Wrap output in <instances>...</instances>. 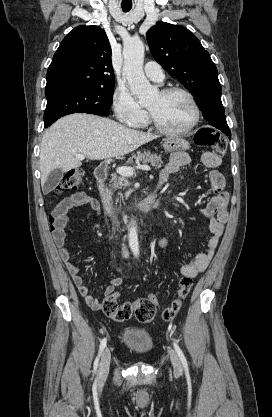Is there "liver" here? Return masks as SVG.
<instances>
[{
  "mask_svg": "<svg viewBox=\"0 0 272 417\" xmlns=\"http://www.w3.org/2000/svg\"><path fill=\"white\" fill-rule=\"evenodd\" d=\"M158 135L127 128L111 119L72 114L57 120L43 134L40 150L41 185L54 169L63 172L81 166L77 154L90 160L126 155Z\"/></svg>",
  "mask_w": 272,
  "mask_h": 417,
  "instance_id": "obj_1",
  "label": "liver"
}]
</instances>
